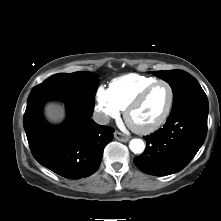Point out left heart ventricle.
I'll use <instances>...</instances> for the list:
<instances>
[{
    "label": "left heart ventricle",
    "instance_id": "left-heart-ventricle-1",
    "mask_svg": "<svg viewBox=\"0 0 221 221\" xmlns=\"http://www.w3.org/2000/svg\"><path fill=\"white\" fill-rule=\"evenodd\" d=\"M169 102V89L166 85L156 86L131 114V122L140 127L149 126L164 114Z\"/></svg>",
    "mask_w": 221,
    "mask_h": 221
}]
</instances>
